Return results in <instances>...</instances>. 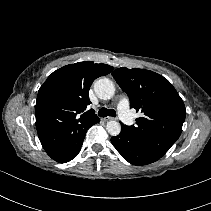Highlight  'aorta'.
Here are the masks:
<instances>
[{
    "label": "aorta",
    "instance_id": "aorta-1",
    "mask_svg": "<svg viewBox=\"0 0 211 211\" xmlns=\"http://www.w3.org/2000/svg\"><path fill=\"white\" fill-rule=\"evenodd\" d=\"M94 91L100 99L109 100L115 93V86L108 78H101L94 83ZM106 130L111 136H117L121 126L117 121L111 120L107 122Z\"/></svg>",
    "mask_w": 211,
    "mask_h": 211
}]
</instances>
